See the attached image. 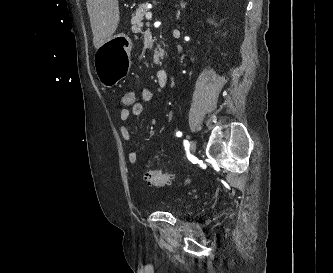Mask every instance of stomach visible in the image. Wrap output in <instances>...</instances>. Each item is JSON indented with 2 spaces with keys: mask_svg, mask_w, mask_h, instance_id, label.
I'll use <instances>...</instances> for the list:
<instances>
[{
  "mask_svg": "<svg viewBox=\"0 0 333 273\" xmlns=\"http://www.w3.org/2000/svg\"><path fill=\"white\" fill-rule=\"evenodd\" d=\"M131 49L132 41L124 33L112 36L97 49L94 66L102 85L112 87L124 77L126 70L130 69L128 56Z\"/></svg>",
  "mask_w": 333,
  "mask_h": 273,
  "instance_id": "obj_1",
  "label": "stomach"
}]
</instances>
